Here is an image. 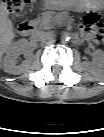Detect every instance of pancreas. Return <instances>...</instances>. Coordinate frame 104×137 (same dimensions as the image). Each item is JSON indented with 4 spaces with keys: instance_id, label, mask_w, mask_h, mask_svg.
Masks as SVG:
<instances>
[{
    "instance_id": "1",
    "label": "pancreas",
    "mask_w": 104,
    "mask_h": 137,
    "mask_svg": "<svg viewBox=\"0 0 104 137\" xmlns=\"http://www.w3.org/2000/svg\"><path fill=\"white\" fill-rule=\"evenodd\" d=\"M65 19L64 14L57 13L52 17L50 14L44 15L42 18H38L33 21L35 25H38L43 28H50L52 25H61Z\"/></svg>"
}]
</instances>
